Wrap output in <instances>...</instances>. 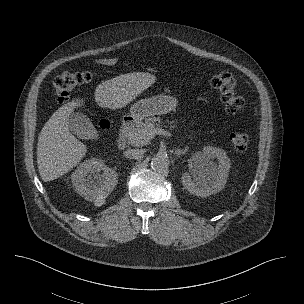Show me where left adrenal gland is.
<instances>
[{"instance_id":"1","label":"left adrenal gland","mask_w":304,"mask_h":304,"mask_svg":"<svg viewBox=\"0 0 304 304\" xmlns=\"http://www.w3.org/2000/svg\"><path fill=\"white\" fill-rule=\"evenodd\" d=\"M187 151H188V146H186L184 150L176 149L174 154L180 157V155L185 154Z\"/></svg>"}]
</instances>
